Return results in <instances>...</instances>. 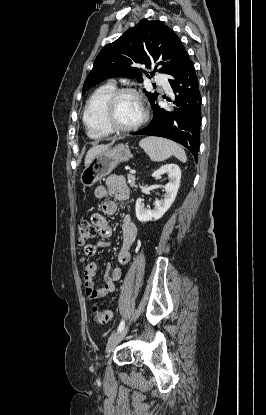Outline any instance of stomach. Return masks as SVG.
I'll use <instances>...</instances> for the list:
<instances>
[{
  "label": "stomach",
  "instance_id": "obj_1",
  "mask_svg": "<svg viewBox=\"0 0 266 415\" xmlns=\"http://www.w3.org/2000/svg\"><path fill=\"white\" fill-rule=\"evenodd\" d=\"M130 157L131 152L127 145L118 144L113 148L108 147L86 165L80 175V183L83 187L93 186L101 178L109 175L118 164L128 161Z\"/></svg>",
  "mask_w": 266,
  "mask_h": 415
}]
</instances>
